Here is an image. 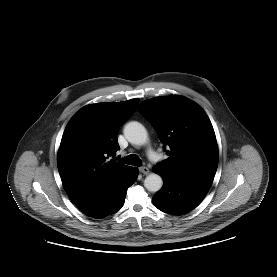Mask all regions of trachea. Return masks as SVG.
Returning a JSON list of instances; mask_svg holds the SVG:
<instances>
[{"mask_svg":"<svg viewBox=\"0 0 277 277\" xmlns=\"http://www.w3.org/2000/svg\"><path fill=\"white\" fill-rule=\"evenodd\" d=\"M123 163L134 165V166H140L141 165V159L134 154L128 155L126 158L122 160Z\"/></svg>","mask_w":277,"mask_h":277,"instance_id":"obj_1","label":"trachea"}]
</instances>
